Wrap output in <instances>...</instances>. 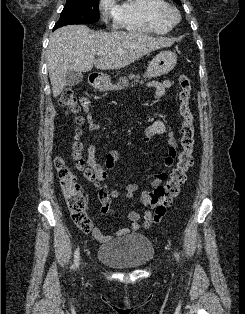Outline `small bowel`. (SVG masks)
<instances>
[{"instance_id": "obj_1", "label": "small bowel", "mask_w": 245, "mask_h": 314, "mask_svg": "<svg viewBox=\"0 0 245 314\" xmlns=\"http://www.w3.org/2000/svg\"><path fill=\"white\" fill-rule=\"evenodd\" d=\"M148 87L155 89V98L159 99L163 97L166 91L171 88L172 82L170 80H164L162 82H149ZM82 110L87 116V119L90 124L91 130H95L97 125L93 120V105L90 100L82 98ZM157 136H166L167 137V153L163 159V169L152 176H143V179L150 180L152 187H157L163 181L167 180L168 173L165 170L166 168H171L174 165V160L177 155L178 143L171 130H168L165 123L162 120H155L152 122L146 129L143 140L145 142H150L154 137ZM119 154L117 151H109L106 154L104 165L101 166L96 159V146L95 144H90L86 151V163L87 165L95 172L100 184L105 186V183L110 179V170L114 167L118 161ZM106 187V186H105ZM125 191L128 195L136 194L142 191V188L137 183H129L125 185ZM145 193V191H143ZM98 198L100 201V212L103 215L109 216L114 214V211L111 209V201L105 199L100 193H98ZM165 215L152 212L150 210L145 211L142 215L139 212L131 211L128 213V220L131 224L128 227L119 229L114 234H107L99 228H93L90 233L97 241L102 243H110L116 238L128 235L134 232L139 231L140 229H148L152 225L157 224L161 221L162 217ZM143 217L144 222L142 224L138 223V220Z\"/></svg>"}]
</instances>
